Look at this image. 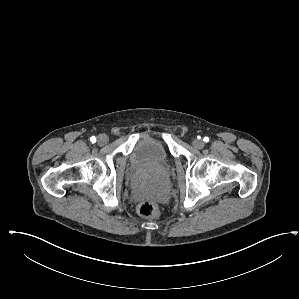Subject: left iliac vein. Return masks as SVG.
I'll return each mask as SVG.
<instances>
[{
	"label": "left iliac vein",
	"mask_w": 299,
	"mask_h": 299,
	"mask_svg": "<svg viewBox=\"0 0 299 299\" xmlns=\"http://www.w3.org/2000/svg\"><path fill=\"white\" fill-rule=\"evenodd\" d=\"M193 147H195L196 149H202L204 147V142L202 140L199 139H195L192 142Z\"/></svg>",
	"instance_id": "4c4485c4"
}]
</instances>
